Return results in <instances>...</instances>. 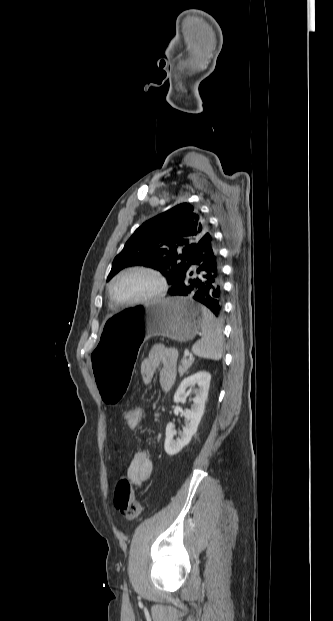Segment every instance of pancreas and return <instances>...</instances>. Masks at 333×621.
<instances>
[{
  "mask_svg": "<svg viewBox=\"0 0 333 621\" xmlns=\"http://www.w3.org/2000/svg\"><path fill=\"white\" fill-rule=\"evenodd\" d=\"M193 362H194V357H192V356H190L189 358L184 357L181 360V363H180L179 368H178V371H179L181 376L184 375L187 372V370L191 367Z\"/></svg>",
  "mask_w": 333,
  "mask_h": 621,
  "instance_id": "obj_1",
  "label": "pancreas"
}]
</instances>
